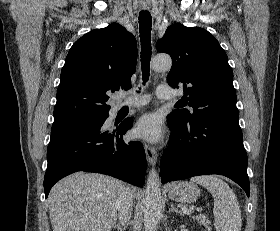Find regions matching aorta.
Instances as JSON below:
<instances>
[{
    "label": "aorta",
    "mask_w": 280,
    "mask_h": 231,
    "mask_svg": "<svg viewBox=\"0 0 280 231\" xmlns=\"http://www.w3.org/2000/svg\"><path fill=\"white\" fill-rule=\"evenodd\" d=\"M154 72H167L172 66L170 56H155L150 62ZM162 209V195L160 177L156 169H150L147 177L144 199V227L145 231H157V225Z\"/></svg>",
    "instance_id": "1"
}]
</instances>
